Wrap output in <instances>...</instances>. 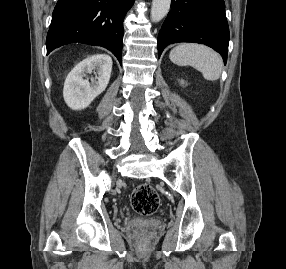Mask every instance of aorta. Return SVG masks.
<instances>
[{
	"instance_id": "aorta-1",
	"label": "aorta",
	"mask_w": 286,
	"mask_h": 269,
	"mask_svg": "<svg viewBox=\"0 0 286 269\" xmlns=\"http://www.w3.org/2000/svg\"><path fill=\"white\" fill-rule=\"evenodd\" d=\"M171 0H153L151 7V20L158 22L169 12Z\"/></svg>"
}]
</instances>
